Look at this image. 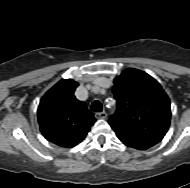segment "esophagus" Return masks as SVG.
<instances>
[{
  "mask_svg": "<svg viewBox=\"0 0 190 188\" xmlns=\"http://www.w3.org/2000/svg\"><path fill=\"white\" fill-rule=\"evenodd\" d=\"M107 117V113L105 111L95 113L96 119H105Z\"/></svg>",
  "mask_w": 190,
  "mask_h": 188,
  "instance_id": "esophagus-1",
  "label": "esophagus"
}]
</instances>
